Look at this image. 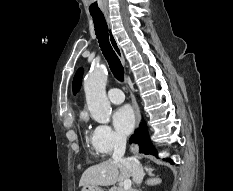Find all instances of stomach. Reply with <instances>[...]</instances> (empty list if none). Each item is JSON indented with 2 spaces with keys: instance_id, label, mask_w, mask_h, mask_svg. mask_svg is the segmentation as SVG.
<instances>
[{
  "instance_id": "obj_1",
  "label": "stomach",
  "mask_w": 233,
  "mask_h": 191,
  "mask_svg": "<svg viewBox=\"0 0 233 191\" xmlns=\"http://www.w3.org/2000/svg\"><path fill=\"white\" fill-rule=\"evenodd\" d=\"M81 191H103V190L100 187L85 186L81 189Z\"/></svg>"
}]
</instances>
